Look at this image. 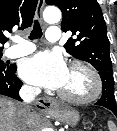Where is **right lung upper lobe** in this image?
<instances>
[{
  "label": "right lung upper lobe",
  "instance_id": "cb5924a9",
  "mask_svg": "<svg viewBox=\"0 0 117 131\" xmlns=\"http://www.w3.org/2000/svg\"><path fill=\"white\" fill-rule=\"evenodd\" d=\"M38 0H0V52L7 40L3 34L13 28L31 26Z\"/></svg>",
  "mask_w": 117,
  "mask_h": 131
}]
</instances>
